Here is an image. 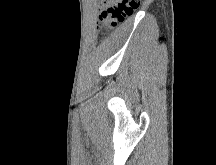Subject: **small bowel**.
<instances>
[{"mask_svg":"<svg viewBox=\"0 0 216 165\" xmlns=\"http://www.w3.org/2000/svg\"><path fill=\"white\" fill-rule=\"evenodd\" d=\"M101 1L106 2L107 0H101Z\"/></svg>","mask_w":216,"mask_h":165,"instance_id":"1","label":"small bowel"}]
</instances>
